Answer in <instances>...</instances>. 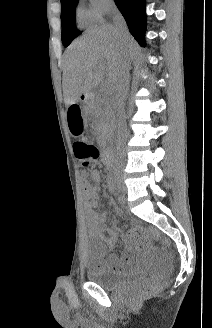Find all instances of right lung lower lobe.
Masks as SVG:
<instances>
[{"label": "right lung lower lobe", "mask_w": 212, "mask_h": 328, "mask_svg": "<svg viewBox=\"0 0 212 328\" xmlns=\"http://www.w3.org/2000/svg\"><path fill=\"white\" fill-rule=\"evenodd\" d=\"M129 31L141 46H145V0H114Z\"/></svg>", "instance_id": "obj_1"}]
</instances>
